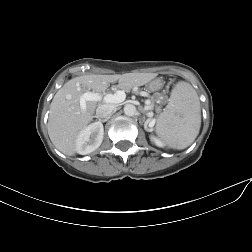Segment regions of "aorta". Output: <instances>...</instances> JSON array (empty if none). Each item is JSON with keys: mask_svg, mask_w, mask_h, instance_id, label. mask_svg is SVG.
Returning <instances> with one entry per match:
<instances>
[{"mask_svg": "<svg viewBox=\"0 0 252 252\" xmlns=\"http://www.w3.org/2000/svg\"><path fill=\"white\" fill-rule=\"evenodd\" d=\"M136 112H137L136 107L133 104H126L124 106V113L127 116H134Z\"/></svg>", "mask_w": 252, "mask_h": 252, "instance_id": "762f6f07", "label": "aorta"}]
</instances>
